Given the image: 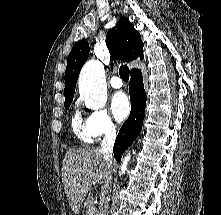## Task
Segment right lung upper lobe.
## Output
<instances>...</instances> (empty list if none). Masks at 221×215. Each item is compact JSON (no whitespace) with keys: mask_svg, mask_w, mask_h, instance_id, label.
Masks as SVG:
<instances>
[{"mask_svg":"<svg viewBox=\"0 0 221 215\" xmlns=\"http://www.w3.org/2000/svg\"><path fill=\"white\" fill-rule=\"evenodd\" d=\"M106 44L112 57L126 62L143 58V42L140 34L126 17H121L106 36ZM89 54L86 40L78 41L72 48L65 71V101L73 100L77 78ZM133 70V69H132Z\"/></svg>","mask_w":221,"mask_h":215,"instance_id":"1","label":"right lung upper lobe"}]
</instances>
